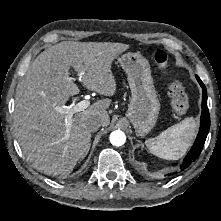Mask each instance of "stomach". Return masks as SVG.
Instances as JSON below:
<instances>
[{"mask_svg": "<svg viewBox=\"0 0 221 221\" xmlns=\"http://www.w3.org/2000/svg\"><path fill=\"white\" fill-rule=\"evenodd\" d=\"M118 62L126 72L131 90L127 117L138 136L147 135L155 126L160 110L150 64L140 53L128 52Z\"/></svg>", "mask_w": 221, "mask_h": 221, "instance_id": "obj_1", "label": "stomach"}]
</instances>
